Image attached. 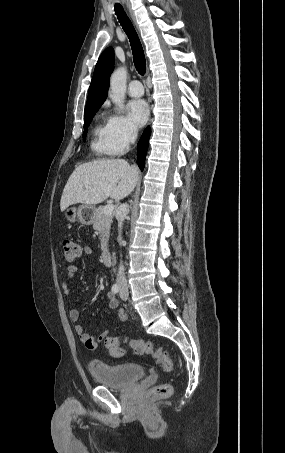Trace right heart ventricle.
I'll return each instance as SVG.
<instances>
[{
    "label": "right heart ventricle",
    "mask_w": 285,
    "mask_h": 453,
    "mask_svg": "<svg viewBox=\"0 0 285 453\" xmlns=\"http://www.w3.org/2000/svg\"><path fill=\"white\" fill-rule=\"evenodd\" d=\"M92 150L100 156L114 155L111 149L107 123H97L92 131Z\"/></svg>",
    "instance_id": "right-heart-ventricle-1"
}]
</instances>
